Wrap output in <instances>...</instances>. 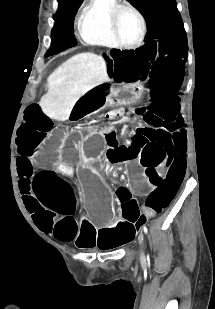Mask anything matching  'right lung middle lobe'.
Listing matches in <instances>:
<instances>
[{"label":"right lung middle lobe","mask_w":215,"mask_h":309,"mask_svg":"<svg viewBox=\"0 0 215 309\" xmlns=\"http://www.w3.org/2000/svg\"><path fill=\"white\" fill-rule=\"evenodd\" d=\"M83 0H58V11L55 14V25L51 34V48L45 56L57 54L77 45L74 37L73 22L78 7Z\"/></svg>","instance_id":"obj_1"}]
</instances>
